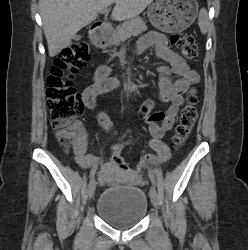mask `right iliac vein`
Segmentation results:
<instances>
[{
  "instance_id": "right-iliac-vein-1",
  "label": "right iliac vein",
  "mask_w": 248,
  "mask_h": 250,
  "mask_svg": "<svg viewBox=\"0 0 248 250\" xmlns=\"http://www.w3.org/2000/svg\"><path fill=\"white\" fill-rule=\"evenodd\" d=\"M96 182L94 179H91L88 185V197L91 199L95 193Z\"/></svg>"
}]
</instances>
